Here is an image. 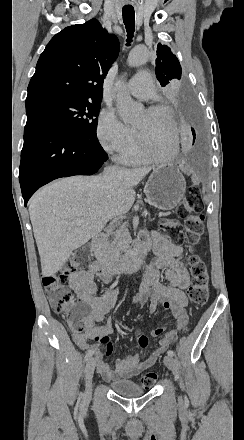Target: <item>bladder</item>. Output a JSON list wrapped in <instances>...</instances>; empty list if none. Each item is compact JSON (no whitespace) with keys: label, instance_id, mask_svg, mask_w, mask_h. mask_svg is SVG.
<instances>
[{"label":"bladder","instance_id":"obj_1","mask_svg":"<svg viewBox=\"0 0 244 440\" xmlns=\"http://www.w3.org/2000/svg\"><path fill=\"white\" fill-rule=\"evenodd\" d=\"M112 389L114 392L127 396H134L145 393V388L140 387L137 382L129 380L113 382Z\"/></svg>","mask_w":244,"mask_h":440}]
</instances>
